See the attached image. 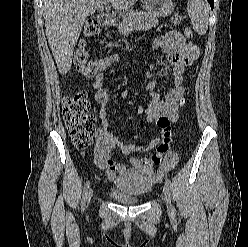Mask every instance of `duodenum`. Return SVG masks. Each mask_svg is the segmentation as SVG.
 Returning <instances> with one entry per match:
<instances>
[{
  "label": "duodenum",
  "mask_w": 248,
  "mask_h": 247,
  "mask_svg": "<svg viewBox=\"0 0 248 247\" xmlns=\"http://www.w3.org/2000/svg\"><path fill=\"white\" fill-rule=\"evenodd\" d=\"M111 18L108 14L102 13L98 15V22L103 26H107L110 24Z\"/></svg>",
  "instance_id": "410a0bca"
}]
</instances>
